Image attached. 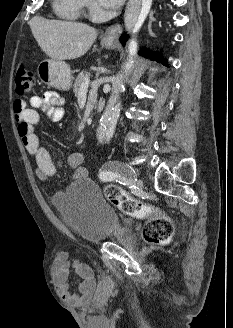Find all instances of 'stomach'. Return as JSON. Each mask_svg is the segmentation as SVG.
<instances>
[{
    "label": "stomach",
    "mask_w": 233,
    "mask_h": 328,
    "mask_svg": "<svg viewBox=\"0 0 233 328\" xmlns=\"http://www.w3.org/2000/svg\"><path fill=\"white\" fill-rule=\"evenodd\" d=\"M103 47H114L113 38H103L101 41ZM39 79L54 88L67 91L71 87V69L69 65L61 60L46 59L40 62L37 68Z\"/></svg>",
    "instance_id": "obj_1"
}]
</instances>
